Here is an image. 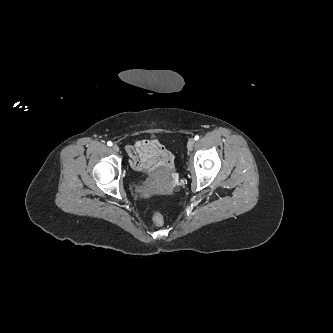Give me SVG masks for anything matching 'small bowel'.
<instances>
[{
  "label": "small bowel",
  "instance_id": "1",
  "mask_svg": "<svg viewBox=\"0 0 333 333\" xmlns=\"http://www.w3.org/2000/svg\"><path fill=\"white\" fill-rule=\"evenodd\" d=\"M130 166L137 171H149L156 166H170L172 154L158 140H137L125 148Z\"/></svg>",
  "mask_w": 333,
  "mask_h": 333
}]
</instances>
